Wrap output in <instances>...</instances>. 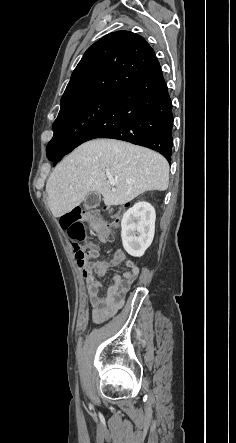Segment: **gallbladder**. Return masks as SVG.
I'll return each instance as SVG.
<instances>
[{"label":"gallbladder","mask_w":236,"mask_h":443,"mask_svg":"<svg viewBox=\"0 0 236 443\" xmlns=\"http://www.w3.org/2000/svg\"><path fill=\"white\" fill-rule=\"evenodd\" d=\"M101 201V195L97 192L89 193L84 200V208L86 210L95 208Z\"/></svg>","instance_id":"bac80fb5"}]
</instances>
